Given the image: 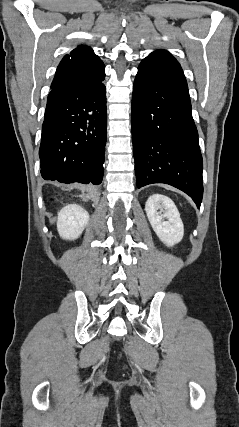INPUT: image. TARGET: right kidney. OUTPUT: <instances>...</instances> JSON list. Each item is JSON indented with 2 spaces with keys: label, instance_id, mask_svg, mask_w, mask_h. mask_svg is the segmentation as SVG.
I'll use <instances>...</instances> for the list:
<instances>
[{
  "label": "right kidney",
  "instance_id": "obj_1",
  "mask_svg": "<svg viewBox=\"0 0 239 427\" xmlns=\"http://www.w3.org/2000/svg\"><path fill=\"white\" fill-rule=\"evenodd\" d=\"M89 221L88 212L79 205L70 204L58 213L57 230L66 240L78 238Z\"/></svg>",
  "mask_w": 239,
  "mask_h": 427
}]
</instances>
